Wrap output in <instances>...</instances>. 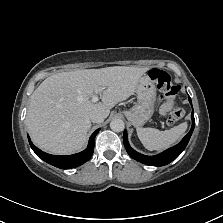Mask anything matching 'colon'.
<instances>
[{"label": "colon", "mask_w": 223, "mask_h": 223, "mask_svg": "<svg viewBox=\"0 0 223 223\" xmlns=\"http://www.w3.org/2000/svg\"><path fill=\"white\" fill-rule=\"evenodd\" d=\"M149 77L156 83L157 87L164 93L168 102L172 106V110L168 114L167 124L173 125L183 117V111L174 107V99L179 92V86L173 83L172 77L165 71L160 69H152Z\"/></svg>", "instance_id": "5ec220e1"}]
</instances>
